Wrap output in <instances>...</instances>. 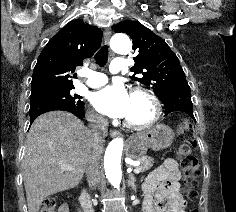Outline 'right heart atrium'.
<instances>
[{
    "mask_svg": "<svg viewBox=\"0 0 236 212\" xmlns=\"http://www.w3.org/2000/svg\"><path fill=\"white\" fill-rule=\"evenodd\" d=\"M88 120L94 124H103L104 123V118L96 113L94 110H90L88 112Z\"/></svg>",
    "mask_w": 236,
    "mask_h": 212,
    "instance_id": "1",
    "label": "right heart atrium"
}]
</instances>
